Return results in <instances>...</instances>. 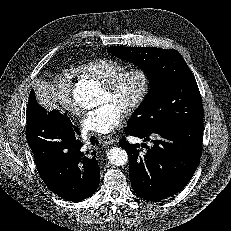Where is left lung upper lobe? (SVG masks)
Here are the masks:
<instances>
[{
  "instance_id": "1",
  "label": "left lung upper lobe",
  "mask_w": 231,
  "mask_h": 231,
  "mask_svg": "<svg viewBox=\"0 0 231 231\" xmlns=\"http://www.w3.org/2000/svg\"><path fill=\"white\" fill-rule=\"evenodd\" d=\"M114 56L143 69L150 90L127 123L132 130L172 128L203 120L201 95L191 70L176 50L108 47Z\"/></svg>"
}]
</instances>
